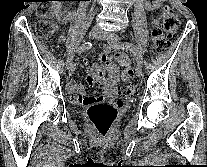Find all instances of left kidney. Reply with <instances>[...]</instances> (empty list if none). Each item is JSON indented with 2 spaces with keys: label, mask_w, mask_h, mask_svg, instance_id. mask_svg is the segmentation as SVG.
Listing matches in <instances>:
<instances>
[{
  "label": "left kidney",
  "mask_w": 207,
  "mask_h": 167,
  "mask_svg": "<svg viewBox=\"0 0 207 167\" xmlns=\"http://www.w3.org/2000/svg\"><path fill=\"white\" fill-rule=\"evenodd\" d=\"M162 1V0H158L157 3L151 5L150 3L146 2L145 3V6L147 9H155V8H158L160 6L159 2Z\"/></svg>",
  "instance_id": "5707ae66"
}]
</instances>
